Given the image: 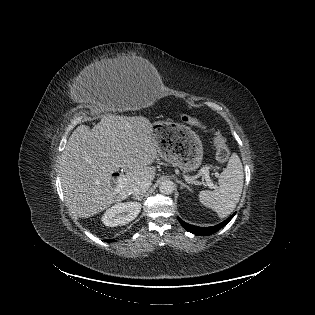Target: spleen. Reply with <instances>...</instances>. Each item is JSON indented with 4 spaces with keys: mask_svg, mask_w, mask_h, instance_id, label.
Listing matches in <instances>:
<instances>
[{
    "mask_svg": "<svg viewBox=\"0 0 315 315\" xmlns=\"http://www.w3.org/2000/svg\"><path fill=\"white\" fill-rule=\"evenodd\" d=\"M243 179V165L239 156L233 153L227 167L219 176V186L214 191H201L198 195L199 201L214 210L219 218H224L233 212L240 200Z\"/></svg>",
    "mask_w": 315,
    "mask_h": 315,
    "instance_id": "obj_1",
    "label": "spleen"
}]
</instances>
